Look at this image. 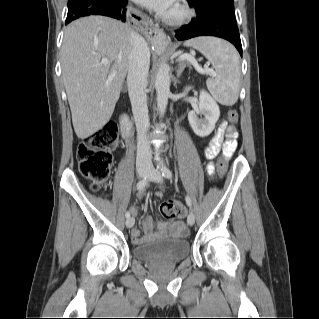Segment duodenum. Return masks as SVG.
I'll use <instances>...</instances> for the list:
<instances>
[{"mask_svg": "<svg viewBox=\"0 0 319 319\" xmlns=\"http://www.w3.org/2000/svg\"><path fill=\"white\" fill-rule=\"evenodd\" d=\"M119 124L122 132V136L125 139H128L131 134V124L128 116L126 114H122L119 119Z\"/></svg>", "mask_w": 319, "mask_h": 319, "instance_id": "obj_1", "label": "duodenum"}]
</instances>
